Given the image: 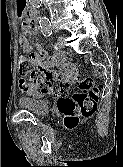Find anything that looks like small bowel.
I'll list each match as a JSON object with an SVG mask.
<instances>
[{
  "mask_svg": "<svg viewBox=\"0 0 123 167\" xmlns=\"http://www.w3.org/2000/svg\"><path fill=\"white\" fill-rule=\"evenodd\" d=\"M17 9L15 14L17 17H26L27 0H15ZM37 30V23L29 14V22L24 26V33L20 36L19 42L22 50L29 54L32 67L41 68L53 75V78H60L64 81H69L74 77L75 70L71 66H62L58 71H51L50 67L61 66L62 62L57 61V55L48 58L47 53L40 49L39 52L34 51V47L29 41V35ZM19 89L24 94L39 96V89L32 83H28L24 78L19 80Z\"/></svg>",
  "mask_w": 123,
  "mask_h": 167,
  "instance_id": "small-bowel-1",
  "label": "small bowel"
}]
</instances>
